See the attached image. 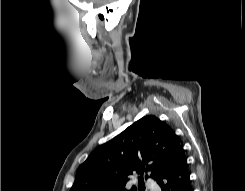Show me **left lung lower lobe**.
I'll return each mask as SVG.
<instances>
[{
	"mask_svg": "<svg viewBox=\"0 0 245 191\" xmlns=\"http://www.w3.org/2000/svg\"><path fill=\"white\" fill-rule=\"evenodd\" d=\"M156 181L162 191H193L187 158L183 148Z\"/></svg>",
	"mask_w": 245,
	"mask_h": 191,
	"instance_id": "0a47b994",
	"label": "left lung lower lobe"
}]
</instances>
